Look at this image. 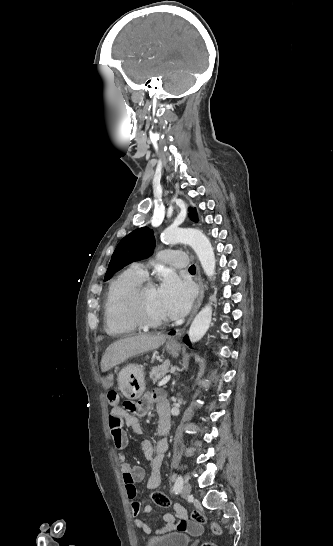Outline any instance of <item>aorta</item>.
<instances>
[{"label":"aorta","mask_w":333,"mask_h":546,"mask_svg":"<svg viewBox=\"0 0 333 546\" xmlns=\"http://www.w3.org/2000/svg\"><path fill=\"white\" fill-rule=\"evenodd\" d=\"M166 243H183L191 246L195 251L204 273L210 279L215 274V255L209 239L198 229L178 228L166 229L163 232ZM212 319V308L205 306L194 318L190 329L189 339L192 343L199 341L207 332Z\"/></svg>","instance_id":"aorta-1"}]
</instances>
